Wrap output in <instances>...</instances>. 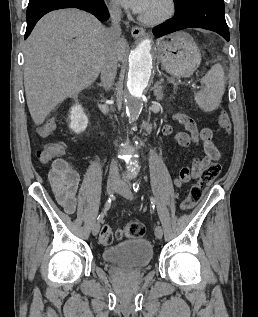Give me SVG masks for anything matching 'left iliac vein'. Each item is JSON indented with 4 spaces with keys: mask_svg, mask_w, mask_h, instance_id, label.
<instances>
[{
    "mask_svg": "<svg viewBox=\"0 0 258 317\" xmlns=\"http://www.w3.org/2000/svg\"><path fill=\"white\" fill-rule=\"evenodd\" d=\"M120 184L116 187V193L118 195H123L124 197H129L130 200H134V195L132 191H130L131 185L124 181L123 178L119 179ZM154 233L157 236V240H162L163 229L161 225H156L154 229Z\"/></svg>",
    "mask_w": 258,
    "mask_h": 317,
    "instance_id": "4c4485c4",
    "label": "left iliac vein"
}]
</instances>
